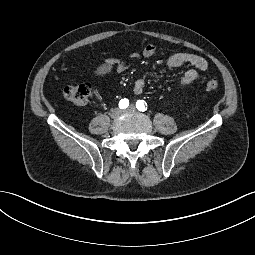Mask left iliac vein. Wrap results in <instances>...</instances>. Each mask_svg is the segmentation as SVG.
Returning a JSON list of instances; mask_svg holds the SVG:
<instances>
[{"mask_svg":"<svg viewBox=\"0 0 255 255\" xmlns=\"http://www.w3.org/2000/svg\"><path fill=\"white\" fill-rule=\"evenodd\" d=\"M128 111H134L135 110V106L134 105H131L129 106V108L127 109Z\"/></svg>","mask_w":255,"mask_h":255,"instance_id":"obj_1","label":"left iliac vein"}]
</instances>
